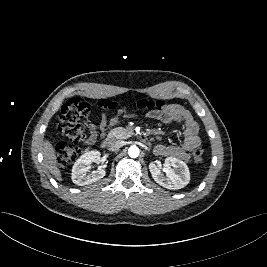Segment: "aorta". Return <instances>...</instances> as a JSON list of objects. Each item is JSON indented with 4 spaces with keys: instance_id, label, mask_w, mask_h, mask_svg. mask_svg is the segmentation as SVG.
<instances>
[{
    "instance_id": "1",
    "label": "aorta",
    "mask_w": 267,
    "mask_h": 267,
    "mask_svg": "<svg viewBox=\"0 0 267 267\" xmlns=\"http://www.w3.org/2000/svg\"><path fill=\"white\" fill-rule=\"evenodd\" d=\"M140 154V150L137 146H131L129 147L128 149V155L131 157V158H136L138 157Z\"/></svg>"
}]
</instances>
